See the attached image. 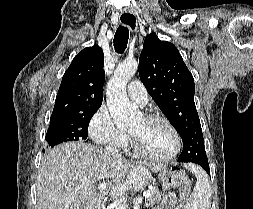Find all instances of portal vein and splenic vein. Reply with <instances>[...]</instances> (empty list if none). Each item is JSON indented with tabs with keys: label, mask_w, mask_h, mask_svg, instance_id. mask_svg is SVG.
<instances>
[{
	"label": "portal vein and splenic vein",
	"mask_w": 253,
	"mask_h": 209,
	"mask_svg": "<svg viewBox=\"0 0 253 209\" xmlns=\"http://www.w3.org/2000/svg\"><path fill=\"white\" fill-rule=\"evenodd\" d=\"M98 189L100 192H103L107 189V184L106 183H100L98 185ZM123 191V187H115L113 188V194H116V193H119V192H122ZM143 196L145 199H147L149 196H150V190H146L144 193H143ZM115 209H125V207L120 204V205H117L115 207Z\"/></svg>",
	"instance_id": "1"
}]
</instances>
